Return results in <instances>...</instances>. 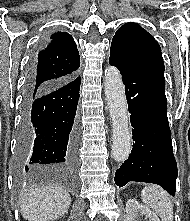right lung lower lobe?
<instances>
[{"label":"right lung lower lobe","mask_w":190,"mask_h":221,"mask_svg":"<svg viewBox=\"0 0 190 221\" xmlns=\"http://www.w3.org/2000/svg\"><path fill=\"white\" fill-rule=\"evenodd\" d=\"M80 76L35 90L28 78L22 103L17 167L36 171L47 164L73 167L76 161L78 125L76 108Z\"/></svg>","instance_id":"right-lung-lower-lobe-1"}]
</instances>
